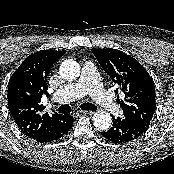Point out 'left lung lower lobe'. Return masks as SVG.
Returning a JSON list of instances; mask_svg holds the SVG:
<instances>
[{
    "label": "left lung lower lobe",
    "instance_id": "1",
    "mask_svg": "<svg viewBox=\"0 0 174 174\" xmlns=\"http://www.w3.org/2000/svg\"><path fill=\"white\" fill-rule=\"evenodd\" d=\"M113 118V125L102 136L112 143H127L142 136L148 127L123 118Z\"/></svg>",
    "mask_w": 174,
    "mask_h": 174
}]
</instances>
